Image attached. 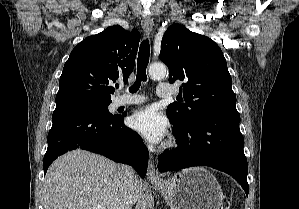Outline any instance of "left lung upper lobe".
Wrapping results in <instances>:
<instances>
[{
    "label": "left lung upper lobe",
    "instance_id": "obj_1",
    "mask_svg": "<svg viewBox=\"0 0 299 209\" xmlns=\"http://www.w3.org/2000/svg\"><path fill=\"white\" fill-rule=\"evenodd\" d=\"M160 59L169 68L170 83L183 81L181 103L166 111L175 127L187 126L210 110L236 107L226 59L210 38L174 24L162 38Z\"/></svg>",
    "mask_w": 299,
    "mask_h": 209
}]
</instances>
